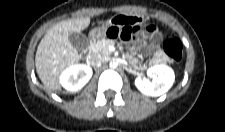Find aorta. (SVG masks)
Returning a JSON list of instances; mask_svg holds the SVG:
<instances>
[{"instance_id":"obj_1","label":"aorta","mask_w":225,"mask_h":132,"mask_svg":"<svg viewBox=\"0 0 225 132\" xmlns=\"http://www.w3.org/2000/svg\"><path fill=\"white\" fill-rule=\"evenodd\" d=\"M116 66H117V63H116V62L112 61V62L110 63V67H111V68H115Z\"/></svg>"}]
</instances>
